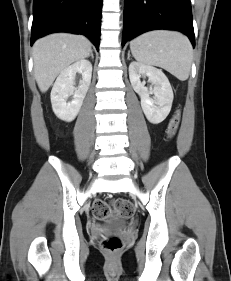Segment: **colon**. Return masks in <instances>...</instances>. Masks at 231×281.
I'll return each instance as SVG.
<instances>
[{"label":"colon","instance_id":"obj_1","mask_svg":"<svg viewBox=\"0 0 231 281\" xmlns=\"http://www.w3.org/2000/svg\"><path fill=\"white\" fill-rule=\"evenodd\" d=\"M180 122V110L177 109L172 116L167 134L173 137L178 129ZM93 215L98 219H107L113 215L129 218L134 214L133 205L126 200L115 199L110 203L103 200H96L92 207ZM102 246L109 252H115L122 246V240L117 236H107L102 240Z\"/></svg>","mask_w":231,"mask_h":281}]
</instances>
